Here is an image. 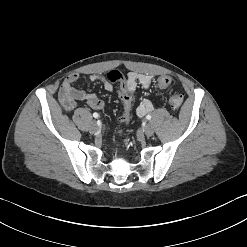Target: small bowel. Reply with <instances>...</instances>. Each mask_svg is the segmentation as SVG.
Here are the masks:
<instances>
[{
    "mask_svg": "<svg viewBox=\"0 0 247 247\" xmlns=\"http://www.w3.org/2000/svg\"><path fill=\"white\" fill-rule=\"evenodd\" d=\"M79 79V75L77 73H72L68 75L59 90V98L62 102L64 108L67 111L73 110L78 101L85 102L89 107L93 109H102L104 106V102L97 97L95 94L86 93L83 90H79L73 86L75 82ZM91 81H100L103 83L104 88L107 91L113 90V84L108 79H105L102 76L91 75ZM125 82H127L131 90L130 92L133 95V108L137 116H144L148 112L153 110L152 102L146 97H136L137 90L142 88L144 90H148L152 83L151 76L147 74H138V73H129Z\"/></svg>",
    "mask_w": 247,
    "mask_h": 247,
    "instance_id": "obj_1",
    "label": "small bowel"
}]
</instances>
